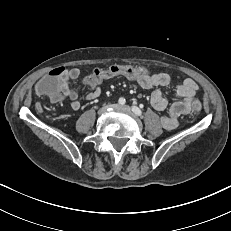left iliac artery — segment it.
Instances as JSON below:
<instances>
[{
    "mask_svg": "<svg viewBox=\"0 0 231 231\" xmlns=\"http://www.w3.org/2000/svg\"><path fill=\"white\" fill-rule=\"evenodd\" d=\"M132 111H133L137 116H141V115H142L141 109H139L137 106H132Z\"/></svg>",
    "mask_w": 231,
    "mask_h": 231,
    "instance_id": "obj_1",
    "label": "left iliac artery"
}]
</instances>
